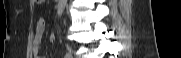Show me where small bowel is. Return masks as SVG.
<instances>
[{"mask_svg":"<svg viewBox=\"0 0 181 58\" xmlns=\"http://www.w3.org/2000/svg\"><path fill=\"white\" fill-rule=\"evenodd\" d=\"M45 20L40 18L37 22H36V27H35V31H34V50H33V54H34V58H42L40 56V48H41V43H42V39L44 36V32H45ZM50 42H55L56 40V35L55 34H51L49 37Z\"/></svg>","mask_w":181,"mask_h":58,"instance_id":"small-bowel-1","label":"small bowel"}]
</instances>
